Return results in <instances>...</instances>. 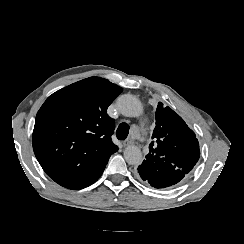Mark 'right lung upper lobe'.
<instances>
[{
    "instance_id": "1",
    "label": "right lung upper lobe",
    "mask_w": 244,
    "mask_h": 244,
    "mask_svg": "<svg viewBox=\"0 0 244 244\" xmlns=\"http://www.w3.org/2000/svg\"><path fill=\"white\" fill-rule=\"evenodd\" d=\"M121 91L104 78L90 77L47 98L36 115L33 150L50 178L87 177L118 150L106 111Z\"/></svg>"
}]
</instances>
